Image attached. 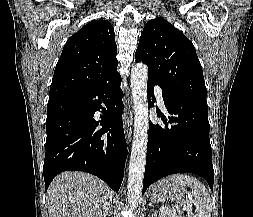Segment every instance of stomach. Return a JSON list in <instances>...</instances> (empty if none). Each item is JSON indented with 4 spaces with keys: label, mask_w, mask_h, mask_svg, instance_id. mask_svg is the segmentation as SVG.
Wrapping results in <instances>:
<instances>
[{
    "label": "stomach",
    "mask_w": 253,
    "mask_h": 217,
    "mask_svg": "<svg viewBox=\"0 0 253 217\" xmlns=\"http://www.w3.org/2000/svg\"><path fill=\"white\" fill-rule=\"evenodd\" d=\"M151 196L153 199L174 202L178 208L188 205L191 200L184 189L171 182L169 178L157 182L152 187Z\"/></svg>",
    "instance_id": "stomach-1"
}]
</instances>
